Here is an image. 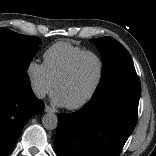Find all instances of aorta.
<instances>
[{"instance_id":"762f6f07","label":"aorta","mask_w":156,"mask_h":156,"mask_svg":"<svg viewBox=\"0 0 156 156\" xmlns=\"http://www.w3.org/2000/svg\"><path fill=\"white\" fill-rule=\"evenodd\" d=\"M42 124L45 129L54 130L57 128L58 125V117L54 113H46L42 117Z\"/></svg>"}]
</instances>
